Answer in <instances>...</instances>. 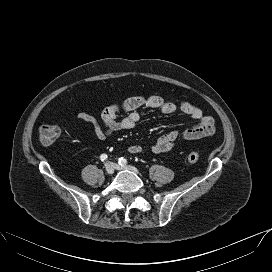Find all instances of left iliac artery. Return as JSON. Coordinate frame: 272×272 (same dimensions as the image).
Segmentation results:
<instances>
[{
  "label": "left iliac artery",
  "instance_id": "44dca946",
  "mask_svg": "<svg viewBox=\"0 0 272 272\" xmlns=\"http://www.w3.org/2000/svg\"><path fill=\"white\" fill-rule=\"evenodd\" d=\"M118 163L120 165H126L127 164V160L125 158L121 157V158H119Z\"/></svg>",
  "mask_w": 272,
  "mask_h": 272
}]
</instances>
